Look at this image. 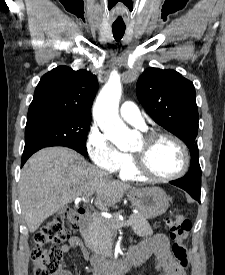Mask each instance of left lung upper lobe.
<instances>
[{
	"label": "left lung upper lobe",
	"mask_w": 225,
	"mask_h": 275,
	"mask_svg": "<svg viewBox=\"0 0 225 275\" xmlns=\"http://www.w3.org/2000/svg\"><path fill=\"white\" fill-rule=\"evenodd\" d=\"M137 95L152 119L190 148V170L201 171L196 141L199 117L193 83L174 70L148 68L137 81Z\"/></svg>",
	"instance_id": "1"
}]
</instances>
